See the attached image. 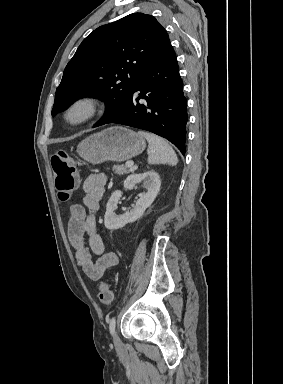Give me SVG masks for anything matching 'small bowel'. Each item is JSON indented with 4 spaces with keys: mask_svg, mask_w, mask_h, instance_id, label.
<instances>
[{
    "mask_svg": "<svg viewBox=\"0 0 283 384\" xmlns=\"http://www.w3.org/2000/svg\"><path fill=\"white\" fill-rule=\"evenodd\" d=\"M106 183L105 174H90L83 182V205H73L68 214V237L75 251L76 262L92 281H99L106 271L118 263L117 254L106 251L105 244L96 230V214ZM84 235H87V241ZM92 255H97V260H93Z\"/></svg>",
    "mask_w": 283,
    "mask_h": 384,
    "instance_id": "small-bowel-1",
    "label": "small bowel"
}]
</instances>
